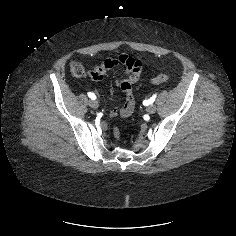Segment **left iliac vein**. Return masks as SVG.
Listing matches in <instances>:
<instances>
[{"instance_id": "obj_1", "label": "left iliac vein", "mask_w": 236, "mask_h": 236, "mask_svg": "<svg viewBox=\"0 0 236 236\" xmlns=\"http://www.w3.org/2000/svg\"><path fill=\"white\" fill-rule=\"evenodd\" d=\"M146 111H147L149 114H153V113H155V111H156V106H155L154 104H151V105L147 106Z\"/></svg>"}]
</instances>
